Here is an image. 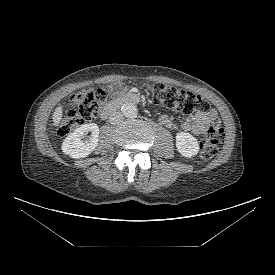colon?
<instances>
[{
	"mask_svg": "<svg viewBox=\"0 0 275 275\" xmlns=\"http://www.w3.org/2000/svg\"><path fill=\"white\" fill-rule=\"evenodd\" d=\"M152 100L158 105L181 111L184 114L207 112L209 105L199 95L187 90H180L163 83L149 86ZM103 89H85L72 97L73 109L64 114L58 127V134L66 136L71 131L94 120L106 102ZM224 138L221 122L215 118L200 141L199 155L204 160L212 159L218 152V146Z\"/></svg>",
	"mask_w": 275,
	"mask_h": 275,
	"instance_id": "obj_1",
	"label": "colon"
}]
</instances>
